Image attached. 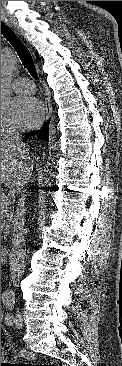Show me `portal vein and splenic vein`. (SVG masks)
<instances>
[{"label":"portal vein and splenic vein","mask_w":122,"mask_h":366,"mask_svg":"<svg viewBox=\"0 0 122 366\" xmlns=\"http://www.w3.org/2000/svg\"><path fill=\"white\" fill-rule=\"evenodd\" d=\"M1 199H2V200H4V196H3V197H1Z\"/></svg>","instance_id":"1"}]
</instances>
